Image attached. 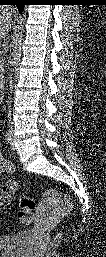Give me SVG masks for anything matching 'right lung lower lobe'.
Listing matches in <instances>:
<instances>
[{
	"instance_id": "obj_1",
	"label": "right lung lower lobe",
	"mask_w": 106,
	"mask_h": 257,
	"mask_svg": "<svg viewBox=\"0 0 106 257\" xmlns=\"http://www.w3.org/2000/svg\"><path fill=\"white\" fill-rule=\"evenodd\" d=\"M1 1H3V3L1 2V4L16 5L19 11L22 12L27 0H1Z\"/></svg>"
}]
</instances>
